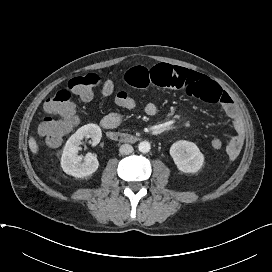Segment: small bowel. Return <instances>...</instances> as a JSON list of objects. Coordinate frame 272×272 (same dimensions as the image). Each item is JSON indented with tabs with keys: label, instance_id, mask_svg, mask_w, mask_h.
Segmentation results:
<instances>
[{
	"label": "small bowel",
	"instance_id": "small-bowel-1",
	"mask_svg": "<svg viewBox=\"0 0 272 272\" xmlns=\"http://www.w3.org/2000/svg\"><path fill=\"white\" fill-rule=\"evenodd\" d=\"M125 80L134 88L175 89L204 102L219 104L235 131L226 146V154L230 159L239 155L246 133L245 125L231 96L216 82L198 72L169 64L132 68L126 72ZM157 112L155 104L149 103L145 106L148 116H155ZM122 119L121 112H111L104 116L101 124L106 129H114L120 125Z\"/></svg>",
	"mask_w": 272,
	"mask_h": 272
}]
</instances>
